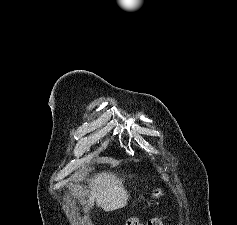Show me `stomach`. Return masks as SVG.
<instances>
[{"label": "stomach", "mask_w": 237, "mask_h": 225, "mask_svg": "<svg viewBox=\"0 0 237 225\" xmlns=\"http://www.w3.org/2000/svg\"><path fill=\"white\" fill-rule=\"evenodd\" d=\"M164 195V189L162 187H156L151 193V198L156 200Z\"/></svg>", "instance_id": "1"}]
</instances>
